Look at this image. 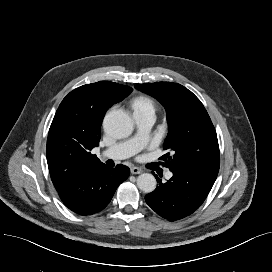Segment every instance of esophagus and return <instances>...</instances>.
Instances as JSON below:
<instances>
[{
	"instance_id": "34e87169",
	"label": "esophagus",
	"mask_w": 272,
	"mask_h": 272,
	"mask_svg": "<svg viewBox=\"0 0 272 272\" xmlns=\"http://www.w3.org/2000/svg\"><path fill=\"white\" fill-rule=\"evenodd\" d=\"M130 172H131V174H140V173H142V169L139 167H132L130 169Z\"/></svg>"
}]
</instances>
